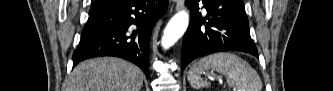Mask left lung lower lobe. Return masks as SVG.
<instances>
[{
    "label": "left lung lower lobe",
    "instance_id": "left-lung-lower-lobe-1",
    "mask_svg": "<svg viewBox=\"0 0 333 91\" xmlns=\"http://www.w3.org/2000/svg\"><path fill=\"white\" fill-rule=\"evenodd\" d=\"M201 3L207 10L205 17L198 11ZM187 4L191 18L183 38L182 69L198 57L220 51H241L258 57L243 0H187Z\"/></svg>",
    "mask_w": 333,
    "mask_h": 91
}]
</instances>
